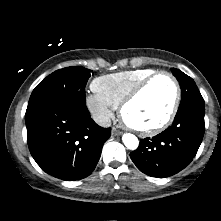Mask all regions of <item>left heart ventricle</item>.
<instances>
[{
	"mask_svg": "<svg viewBox=\"0 0 221 221\" xmlns=\"http://www.w3.org/2000/svg\"><path fill=\"white\" fill-rule=\"evenodd\" d=\"M174 95L171 80L166 76H159L127 107L125 118L138 128L153 127L169 113Z\"/></svg>",
	"mask_w": 221,
	"mask_h": 221,
	"instance_id": "left-heart-ventricle-1",
	"label": "left heart ventricle"
}]
</instances>
